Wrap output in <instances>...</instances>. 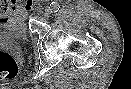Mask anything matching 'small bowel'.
<instances>
[{
  "mask_svg": "<svg viewBox=\"0 0 131 89\" xmlns=\"http://www.w3.org/2000/svg\"><path fill=\"white\" fill-rule=\"evenodd\" d=\"M33 5H34V3H33L32 0H27V1L24 3V5H22V6H19L18 4L13 3V4H12V7H13V8H20V10L26 12V11L32 10V9H33Z\"/></svg>",
  "mask_w": 131,
  "mask_h": 89,
  "instance_id": "small-bowel-1",
  "label": "small bowel"
}]
</instances>
